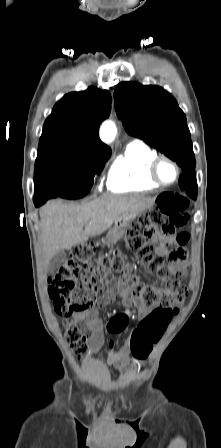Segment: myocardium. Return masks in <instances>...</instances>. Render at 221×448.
I'll use <instances>...</instances> for the list:
<instances>
[{"label":"myocardium","instance_id":"1","mask_svg":"<svg viewBox=\"0 0 221 448\" xmlns=\"http://www.w3.org/2000/svg\"><path fill=\"white\" fill-rule=\"evenodd\" d=\"M163 161H166V162L170 163L174 167V169H175L176 175H175L174 180L171 181V182H165L159 175V167H160V165H161V163ZM179 176H180V167L170 157H167V156H157L150 164V167H149V177H150V179L154 183L158 184L161 187H168V186H171V185L175 184L178 181Z\"/></svg>","mask_w":221,"mask_h":448}]
</instances>
